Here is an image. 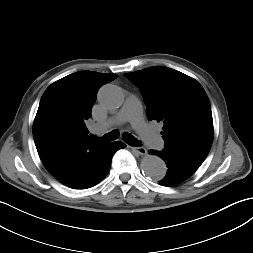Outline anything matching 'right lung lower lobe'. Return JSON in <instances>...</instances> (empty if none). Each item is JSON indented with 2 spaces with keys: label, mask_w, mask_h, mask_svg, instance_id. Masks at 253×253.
I'll list each match as a JSON object with an SVG mask.
<instances>
[{
  "label": "right lung lower lobe",
  "mask_w": 253,
  "mask_h": 253,
  "mask_svg": "<svg viewBox=\"0 0 253 253\" xmlns=\"http://www.w3.org/2000/svg\"><path fill=\"white\" fill-rule=\"evenodd\" d=\"M125 147L126 145L119 141L105 144L104 147L100 150V153L98 155L99 164L97 174L90 182L80 186L77 189H86L93 187L94 185L98 184L101 180H103L110 170L112 156L115 154L117 150Z\"/></svg>",
  "instance_id": "obj_1"
}]
</instances>
